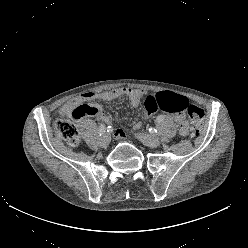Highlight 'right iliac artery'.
<instances>
[{
    "label": "right iliac artery",
    "mask_w": 248,
    "mask_h": 248,
    "mask_svg": "<svg viewBox=\"0 0 248 248\" xmlns=\"http://www.w3.org/2000/svg\"><path fill=\"white\" fill-rule=\"evenodd\" d=\"M105 132H106V126L104 124H101L99 126L98 133H99L100 136H102Z\"/></svg>",
    "instance_id": "obj_1"
}]
</instances>
